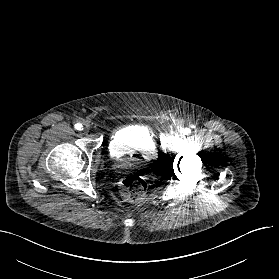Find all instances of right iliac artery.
Here are the masks:
<instances>
[{"label": "right iliac artery", "instance_id": "82829eb1", "mask_svg": "<svg viewBox=\"0 0 279 279\" xmlns=\"http://www.w3.org/2000/svg\"><path fill=\"white\" fill-rule=\"evenodd\" d=\"M82 127H83V126H82L81 124H79V123L75 124V129H76V130H81Z\"/></svg>", "mask_w": 279, "mask_h": 279}]
</instances>
